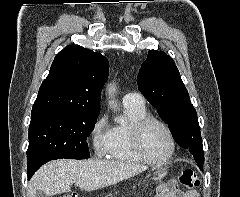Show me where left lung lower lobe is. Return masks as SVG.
Returning <instances> with one entry per match:
<instances>
[{
    "instance_id": "1",
    "label": "left lung lower lobe",
    "mask_w": 240,
    "mask_h": 197,
    "mask_svg": "<svg viewBox=\"0 0 240 197\" xmlns=\"http://www.w3.org/2000/svg\"><path fill=\"white\" fill-rule=\"evenodd\" d=\"M200 170H203V165L199 166Z\"/></svg>"
}]
</instances>
